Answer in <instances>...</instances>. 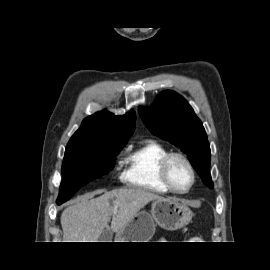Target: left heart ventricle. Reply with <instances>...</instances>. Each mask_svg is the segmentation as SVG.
I'll return each instance as SVG.
<instances>
[{
	"label": "left heart ventricle",
	"mask_w": 270,
	"mask_h": 270,
	"mask_svg": "<svg viewBox=\"0 0 270 270\" xmlns=\"http://www.w3.org/2000/svg\"><path fill=\"white\" fill-rule=\"evenodd\" d=\"M170 176L173 184L181 190L186 189L191 182V174L188 167L177 159L171 163Z\"/></svg>",
	"instance_id": "b2bd125f"
}]
</instances>
